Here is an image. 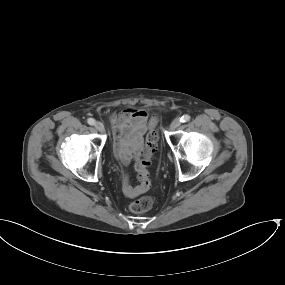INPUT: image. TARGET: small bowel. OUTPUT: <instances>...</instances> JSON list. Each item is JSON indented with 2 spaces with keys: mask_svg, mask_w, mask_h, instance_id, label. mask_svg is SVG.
<instances>
[{
  "mask_svg": "<svg viewBox=\"0 0 285 285\" xmlns=\"http://www.w3.org/2000/svg\"><path fill=\"white\" fill-rule=\"evenodd\" d=\"M157 117H149L147 113L140 110L127 109L119 114L110 116L113 124V144L116 157L127 165L133 159H138L141 155L142 140L141 137L145 131L152 128ZM145 191L137 187L123 188V193L134 198Z\"/></svg>",
  "mask_w": 285,
  "mask_h": 285,
  "instance_id": "obj_1",
  "label": "small bowel"
}]
</instances>
